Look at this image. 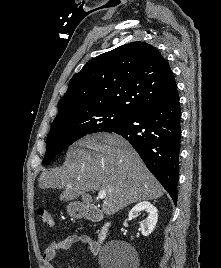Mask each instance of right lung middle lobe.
Returning a JSON list of instances; mask_svg holds the SVG:
<instances>
[{
  "label": "right lung middle lobe",
  "mask_w": 221,
  "mask_h": 268,
  "mask_svg": "<svg viewBox=\"0 0 221 268\" xmlns=\"http://www.w3.org/2000/svg\"><path fill=\"white\" fill-rule=\"evenodd\" d=\"M131 117L116 111H94L54 119L46 140L43 164L81 137L95 132H108L126 124Z\"/></svg>",
  "instance_id": "dd1d6c3e"
}]
</instances>
